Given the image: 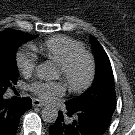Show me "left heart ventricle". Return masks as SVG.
Wrapping results in <instances>:
<instances>
[{"instance_id":"obj_1","label":"left heart ventricle","mask_w":135,"mask_h":135,"mask_svg":"<svg viewBox=\"0 0 135 135\" xmlns=\"http://www.w3.org/2000/svg\"><path fill=\"white\" fill-rule=\"evenodd\" d=\"M87 73H88L87 63L84 60H81L70 73L69 80L75 85H80L85 81ZM57 78H63V74L60 68H58L57 71Z\"/></svg>"}]
</instances>
